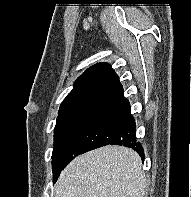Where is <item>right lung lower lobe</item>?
I'll use <instances>...</instances> for the list:
<instances>
[{
    "label": "right lung lower lobe",
    "instance_id": "98d812e1",
    "mask_svg": "<svg viewBox=\"0 0 191 197\" xmlns=\"http://www.w3.org/2000/svg\"><path fill=\"white\" fill-rule=\"evenodd\" d=\"M105 145L132 148L144 159L142 145L136 138L135 120L122 86L92 108L76 136L63 168L76 156Z\"/></svg>",
    "mask_w": 191,
    "mask_h": 197
}]
</instances>
